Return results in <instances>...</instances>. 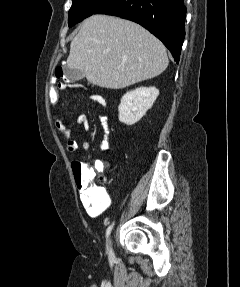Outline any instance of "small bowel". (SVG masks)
I'll return each mask as SVG.
<instances>
[{
	"mask_svg": "<svg viewBox=\"0 0 240 287\" xmlns=\"http://www.w3.org/2000/svg\"><path fill=\"white\" fill-rule=\"evenodd\" d=\"M89 99L100 104L101 106H106V99L100 94H92L89 96ZM99 122L103 129V137L99 145L100 151H107L110 148L109 138H108V119L105 115L99 116ZM61 139L65 143V149L68 153H74L77 150V143L70 138V127L71 125L67 124L65 118L60 119L58 122H54ZM74 125L83 128L85 131L90 130V124L88 118L85 114H80ZM82 147L85 151H90L91 145L88 141H83ZM101 164V163H99ZM104 178H101L103 181ZM80 200L87 211L88 215L95 218L101 215L109 206L110 199L109 197L102 193L98 188H92L90 193H83L80 191Z\"/></svg>",
	"mask_w": 240,
	"mask_h": 287,
	"instance_id": "1",
	"label": "small bowel"
}]
</instances>
